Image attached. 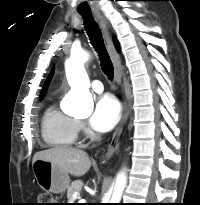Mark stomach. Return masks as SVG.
<instances>
[{"label": "stomach", "mask_w": 200, "mask_h": 205, "mask_svg": "<svg viewBox=\"0 0 200 205\" xmlns=\"http://www.w3.org/2000/svg\"><path fill=\"white\" fill-rule=\"evenodd\" d=\"M32 170L37 183L45 191L60 194L69 187L68 173L52 162L36 160L32 164Z\"/></svg>", "instance_id": "obj_1"}]
</instances>
